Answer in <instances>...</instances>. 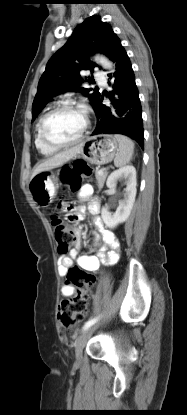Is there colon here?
I'll return each instance as SVG.
<instances>
[{
    "mask_svg": "<svg viewBox=\"0 0 187 415\" xmlns=\"http://www.w3.org/2000/svg\"><path fill=\"white\" fill-rule=\"evenodd\" d=\"M91 174L92 169L86 164H74L65 167L61 172L62 179L71 192L80 190L82 176H90ZM60 208L69 210L66 200L60 201ZM51 224L57 243V251L60 255H66L76 240V234L63 222L59 215H52ZM67 279L76 288V294L61 301L58 318L63 328L70 329L81 323L87 315L91 289L97 284L98 276L74 268L68 272Z\"/></svg>",
    "mask_w": 187,
    "mask_h": 415,
    "instance_id": "obj_1",
    "label": "colon"
}]
</instances>
